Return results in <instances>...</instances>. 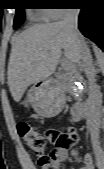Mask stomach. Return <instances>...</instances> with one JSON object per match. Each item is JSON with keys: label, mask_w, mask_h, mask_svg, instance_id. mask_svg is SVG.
Listing matches in <instances>:
<instances>
[{"label": "stomach", "mask_w": 104, "mask_h": 169, "mask_svg": "<svg viewBox=\"0 0 104 169\" xmlns=\"http://www.w3.org/2000/svg\"><path fill=\"white\" fill-rule=\"evenodd\" d=\"M22 104L25 108H33L41 116L52 117L61 112L65 98L62 89L55 82L45 80L30 88Z\"/></svg>", "instance_id": "obj_1"}]
</instances>
